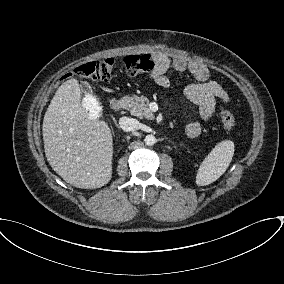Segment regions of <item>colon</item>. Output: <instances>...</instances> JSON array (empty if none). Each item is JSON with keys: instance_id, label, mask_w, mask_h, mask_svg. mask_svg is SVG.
Returning <instances> with one entry per match:
<instances>
[{"instance_id": "colon-1", "label": "colon", "mask_w": 284, "mask_h": 284, "mask_svg": "<svg viewBox=\"0 0 284 284\" xmlns=\"http://www.w3.org/2000/svg\"><path fill=\"white\" fill-rule=\"evenodd\" d=\"M117 61L113 58L90 61L77 66L70 75L92 81H108L114 75ZM122 66L130 75H141L152 71L155 62L150 55H129L122 59ZM221 120L227 131H232L235 126L233 114L227 108L220 110Z\"/></svg>"}]
</instances>
